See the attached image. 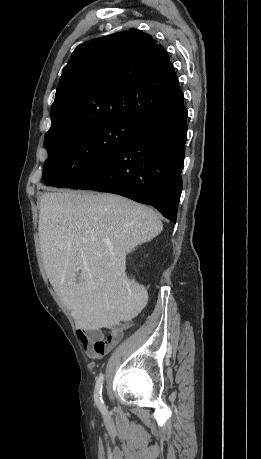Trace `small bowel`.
Masks as SVG:
<instances>
[{"mask_svg":"<svg viewBox=\"0 0 261 459\" xmlns=\"http://www.w3.org/2000/svg\"><path fill=\"white\" fill-rule=\"evenodd\" d=\"M77 337L84 351L91 358H100L107 354L123 338V331H113L105 336L103 330L92 324H84L77 329Z\"/></svg>","mask_w":261,"mask_h":459,"instance_id":"obj_1","label":"small bowel"}]
</instances>
